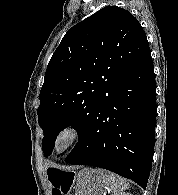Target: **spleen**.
I'll use <instances>...</instances> for the list:
<instances>
[{
	"label": "spleen",
	"instance_id": "3e777b00",
	"mask_svg": "<svg viewBox=\"0 0 178 195\" xmlns=\"http://www.w3.org/2000/svg\"><path fill=\"white\" fill-rule=\"evenodd\" d=\"M97 172L105 185L114 193L113 195H118L117 193L129 188L128 182L121 176L101 169H97Z\"/></svg>",
	"mask_w": 178,
	"mask_h": 195
}]
</instances>
